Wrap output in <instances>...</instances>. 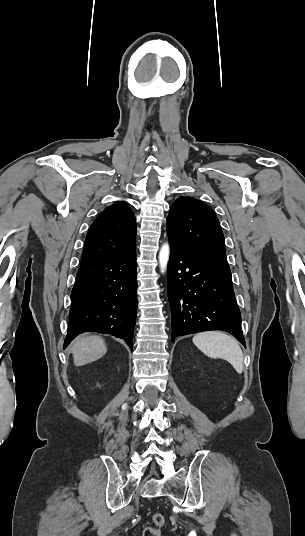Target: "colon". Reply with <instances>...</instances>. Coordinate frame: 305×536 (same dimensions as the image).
Instances as JSON below:
<instances>
[{
  "mask_svg": "<svg viewBox=\"0 0 305 536\" xmlns=\"http://www.w3.org/2000/svg\"><path fill=\"white\" fill-rule=\"evenodd\" d=\"M151 521L154 526L144 529L142 536H161V530L166 522L164 515L160 513H154L151 515Z\"/></svg>",
  "mask_w": 305,
  "mask_h": 536,
  "instance_id": "1",
  "label": "colon"
}]
</instances>
